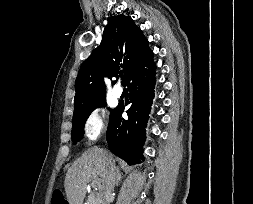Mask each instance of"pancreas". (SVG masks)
Returning <instances> with one entry per match:
<instances>
[{"label": "pancreas", "instance_id": "obj_1", "mask_svg": "<svg viewBox=\"0 0 253 204\" xmlns=\"http://www.w3.org/2000/svg\"><path fill=\"white\" fill-rule=\"evenodd\" d=\"M86 204H100L98 195L96 193H91Z\"/></svg>", "mask_w": 253, "mask_h": 204}]
</instances>
